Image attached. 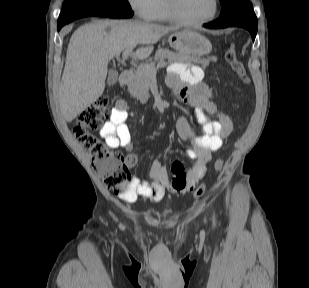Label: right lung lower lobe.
<instances>
[{
    "mask_svg": "<svg viewBox=\"0 0 309 288\" xmlns=\"http://www.w3.org/2000/svg\"><path fill=\"white\" fill-rule=\"evenodd\" d=\"M86 16H102V17H110V18H130L133 16V12L129 10L116 9V8H95V9H91V10H88V11H85L79 14L78 16L71 19L69 22H72L73 20L86 17ZM64 25L65 24L59 25L58 31H60Z\"/></svg>",
    "mask_w": 309,
    "mask_h": 288,
    "instance_id": "right-lung-lower-lobe-1",
    "label": "right lung lower lobe"
}]
</instances>
